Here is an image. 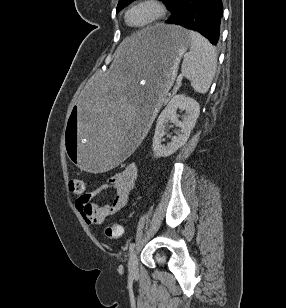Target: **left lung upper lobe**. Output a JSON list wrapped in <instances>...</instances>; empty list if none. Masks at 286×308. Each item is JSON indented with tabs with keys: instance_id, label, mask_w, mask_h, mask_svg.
<instances>
[{
	"instance_id": "5c2ea615",
	"label": "left lung upper lobe",
	"mask_w": 286,
	"mask_h": 308,
	"mask_svg": "<svg viewBox=\"0 0 286 308\" xmlns=\"http://www.w3.org/2000/svg\"><path fill=\"white\" fill-rule=\"evenodd\" d=\"M132 1L134 0H119L116 11L117 12L120 11L122 8L126 7ZM161 1L165 4L166 8L169 10L173 0H161Z\"/></svg>"
}]
</instances>
